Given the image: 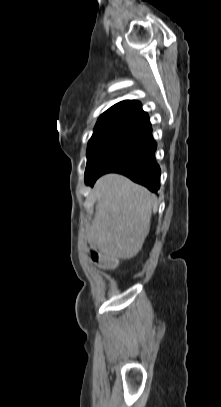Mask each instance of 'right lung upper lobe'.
I'll return each mask as SVG.
<instances>
[{
    "label": "right lung upper lobe",
    "instance_id": "obj_1",
    "mask_svg": "<svg viewBox=\"0 0 221 407\" xmlns=\"http://www.w3.org/2000/svg\"><path fill=\"white\" fill-rule=\"evenodd\" d=\"M149 122L148 114L142 110L140 102L125 100L115 104L99 117L94 132L115 127L141 128Z\"/></svg>",
    "mask_w": 221,
    "mask_h": 407
}]
</instances>
